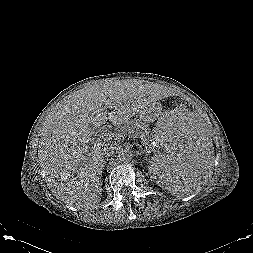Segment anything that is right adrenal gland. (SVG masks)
Wrapping results in <instances>:
<instances>
[{"instance_id": "2a0ac1e0", "label": "right adrenal gland", "mask_w": 253, "mask_h": 253, "mask_svg": "<svg viewBox=\"0 0 253 253\" xmlns=\"http://www.w3.org/2000/svg\"><path fill=\"white\" fill-rule=\"evenodd\" d=\"M107 161H108V158H107L106 160L103 161V165H104V166L106 165Z\"/></svg>"}]
</instances>
